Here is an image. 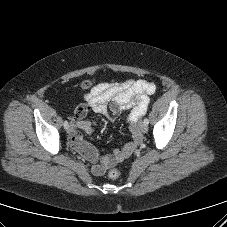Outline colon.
<instances>
[{
    "label": "colon",
    "mask_w": 227,
    "mask_h": 227,
    "mask_svg": "<svg viewBox=\"0 0 227 227\" xmlns=\"http://www.w3.org/2000/svg\"><path fill=\"white\" fill-rule=\"evenodd\" d=\"M91 86V83L89 81H86L82 84V87L84 89H87ZM109 177L111 179H118L120 177V171L117 168H113L108 173Z\"/></svg>",
    "instance_id": "obj_1"
}]
</instances>
